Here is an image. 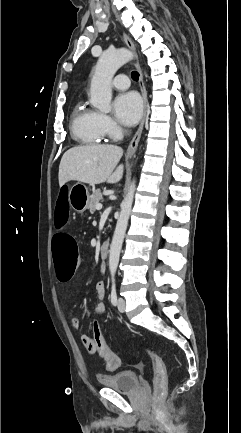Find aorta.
<instances>
[{"instance_id": "obj_1", "label": "aorta", "mask_w": 241, "mask_h": 433, "mask_svg": "<svg viewBox=\"0 0 241 433\" xmlns=\"http://www.w3.org/2000/svg\"><path fill=\"white\" fill-rule=\"evenodd\" d=\"M131 59H133V53L124 48L114 51H105L98 59L95 73L91 81L90 102L101 112H110L112 99V78L116 71ZM135 187V180H133L124 200L120 205L121 212L109 250V270L111 275L116 273L118 267L120 252L132 209Z\"/></svg>"}]
</instances>
